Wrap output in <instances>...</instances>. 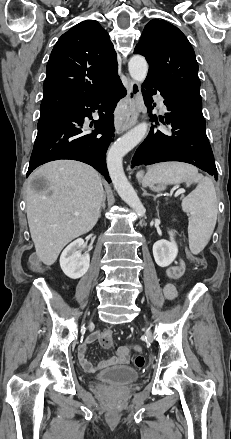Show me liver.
Wrapping results in <instances>:
<instances>
[{
	"label": "liver",
	"instance_id": "6515ba94",
	"mask_svg": "<svg viewBox=\"0 0 231 439\" xmlns=\"http://www.w3.org/2000/svg\"><path fill=\"white\" fill-rule=\"evenodd\" d=\"M40 176L48 187L35 192L31 183ZM103 195L97 171L78 161H52L32 173L26 192L27 219L36 254L45 265L54 264L69 242L92 230Z\"/></svg>",
	"mask_w": 231,
	"mask_h": 439
}]
</instances>
